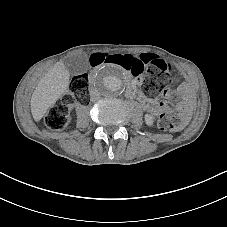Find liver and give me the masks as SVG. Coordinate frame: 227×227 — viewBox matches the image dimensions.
I'll return each instance as SVG.
<instances>
[{"mask_svg": "<svg viewBox=\"0 0 227 227\" xmlns=\"http://www.w3.org/2000/svg\"><path fill=\"white\" fill-rule=\"evenodd\" d=\"M69 73L62 62L52 67L38 83L31 97V112L35 121L42 119L49 108L64 94Z\"/></svg>", "mask_w": 227, "mask_h": 227, "instance_id": "liver-1", "label": "liver"}]
</instances>
